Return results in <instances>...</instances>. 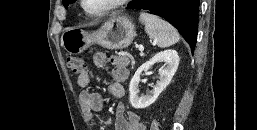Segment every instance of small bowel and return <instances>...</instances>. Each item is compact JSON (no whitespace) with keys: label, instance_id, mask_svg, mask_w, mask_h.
<instances>
[{"label":"small bowel","instance_id":"obj_1","mask_svg":"<svg viewBox=\"0 0 257 130\" xmlns=\"http://www.w3.org/2000/svg\"><path fill=\"white\" fill-rule=\"evenodd\" d=\"M94 62L97 66H103L106 62L105 55L97 54ZM110 62L113 64V68L111 71L112 80L108 89L113 97L122 98L125 93L123 83L129 75V60L125 56H115L110 59ZM90 81L91 75L88 69H85L78 75V86L83 89L79 96L80 103L86 113L92 118L96 130H105L99 125L95 117L96 113L101 111L103 107V98L100 93L86 89ZM115 130H146V126L136 113L125 110L124 105L120 103L116 113Z\"/></svg>","mask_w":257,"mask_h":130}]
</instances>
